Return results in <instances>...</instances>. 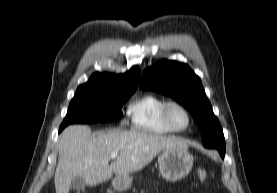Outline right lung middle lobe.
I'll list each match as a JSON object with an SVG mask.
<instances>
[{"mask_svg":"<svg viewBox=\"0 0 277 193\" xmlns=\"http://www.w3.org/2000/svg\"><path fill=\"white\" fill-rule=\"evenodd\" d=\"M133 92H97L77 89L61 124L113 121Z\"/></svg>","mask_w":277,"mask_h":193,"instance_id":"right-lung-middle-lobe-1","label":"right lung middle lobe"}]
</instances>
